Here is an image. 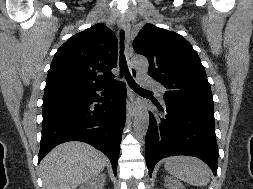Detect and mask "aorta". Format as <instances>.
Returning <instances> with one entry per match:
<instances>
[{
    "label": "aorta",
    "instance_id": "1",
    "mask_svg": "<svg viewBox=\"0 0 253 189\" xmlns=\"http://www.w3.org/2000/svg\"><path fill=\"white\" fill-rule=\"evenodd\" d=\"M133 64L139 70H148V61L143 57H134ZM148 126L149 112L146 107H140L136 111L133 121L134 135L136 138L143 139L147 133Z\"/></svg>",
    "mask_w": 253,
    "mask_h": 189
}]
</instances>
